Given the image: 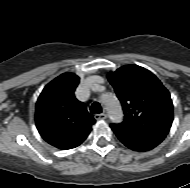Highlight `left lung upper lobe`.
Masks as SVG:
<instances>
[{
  "label": "left lung upper lobe",
  "instance_id": "obj_1",
  "mask_svg": "<svg viewBox=\"0 0 190 188\" xmlns=\"http://www.w3.org/2000/svg\"><path fill=\"white\" fill-rule=\"evenodd\" d=\"M107 77L122 104L124 120L121 124L143 131L169 132L173 120L172 101L154 74L138 65H126Z\"/></svg>",
  "mask_w": 190,
  "mask_h": 188
}]
</instances>
